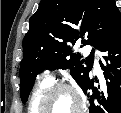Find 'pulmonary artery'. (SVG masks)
<instances>
[{"mask_svg": "<svg viewBox=\"0 0 121 113\" xmlns=\"http://www.w3.org/2000/svg\"><path fill=\"white\" fill-rule=\"evenodd\" d=\"M90 50H91L90 47L86 48L84 51L85 55H88L90 53ZM94 72L97 73L98 75L102 76V70H101L100 64L98 62V59H95V61H94ZM45 73L49 74V71L46 70Z\"/></svg>", "mask_w": 121, "mask_h": 113, "instance_id": "e3ab8cb5", "label": "pulmonary artery"}]
</instances>
